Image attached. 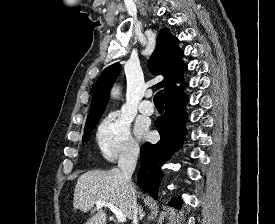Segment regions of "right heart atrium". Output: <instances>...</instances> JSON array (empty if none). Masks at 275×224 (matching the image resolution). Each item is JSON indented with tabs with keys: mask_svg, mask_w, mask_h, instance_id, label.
<instances>
[{
	"mask_svg": "<svg viewBox=\"0 0 275 224\" xmlns=\"http://www.w3.org/2000/svg\"><path fill=\"white\" fill-rule=\"evenodd\" d=\"M95 138L100 153L108 161L134 158L139 153L130 122L119 112H112L104 117L98 125Z\"/></svg>",
	"mask_w": 275,
	"mask_h": 224,
	"instance_id": "1",
	"label": "right heart atrium"
}]
</instances>
